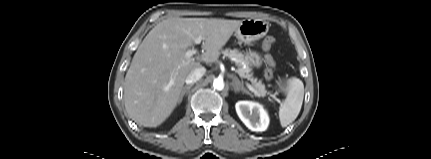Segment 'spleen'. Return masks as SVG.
Returning a JSON list of instances; mask_svg holds the SVG:
<instances>
[{"label": "spleen", "instance_id": "3e777b00", "mask_svg": "<svg viewBox=\"0 0 431 159\" xmlns=\"http://www.w3.org/2000/svg\"><path fill=\"white\" fill-rule=\"evenodd\" d=\"M291 83L292 87L284 103L279 108V119L282 127L288 126L297 118L303 103V82L298 78H292Z\"/></svg>", "mask_w": 431, "mask_h": 159}]
</instances>
